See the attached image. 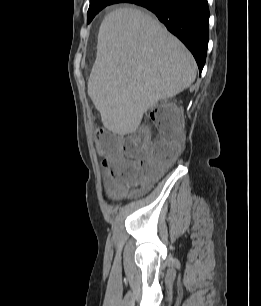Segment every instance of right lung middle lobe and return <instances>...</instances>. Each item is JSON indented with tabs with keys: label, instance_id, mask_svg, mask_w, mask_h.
Segmentation results:
<instances>
[{
	"label": "right lung middle lobe",
	"instance_id": "dd1d6c3e",
	"mask_svg": "<svg viewBox=\"0 0 261 306\" xmlns=\"http://www.w3.org/2000/svg\"><path fill=\"white\" fill-rule=\"evenodd\" d=\"M123 1L109 0V1H101V2H91L88 13H87V23H90L95 15L105 8L108 5L115 3H122Z\"/></svg>",
	"mask_w": 261,
	"mask_h": 306
}]
</instances>
